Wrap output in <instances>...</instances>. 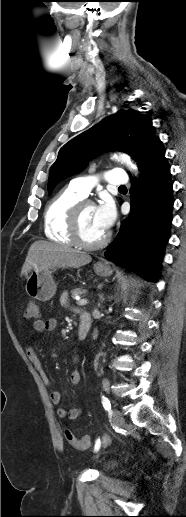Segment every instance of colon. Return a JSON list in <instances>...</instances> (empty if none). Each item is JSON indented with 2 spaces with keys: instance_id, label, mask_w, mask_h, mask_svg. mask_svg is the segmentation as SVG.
<instances>
[{
  "instance_id": "colon-1",
  "label": "colon",
  "mask_w": 186,
  "mask_h": 517,
  "mask_svg": "<svg viewBox=\"0 0 186 517\" xmlns=\"http://www.w3.org/2000/svg\"><path fill=\"white\" fill-rule=\"evenodd\" d=\"M25 317L27 319H38L40 317L39 304L34 300H29L26 304ZM67 441L78 450H85L91 445V437L85 435L81 438L76 437L71 431H65Z\"/></svg>"
}]
</instances>
